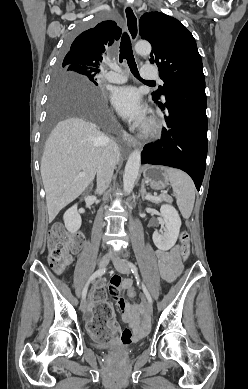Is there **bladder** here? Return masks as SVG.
Listing matches in <instances>:
<instances>
[{
  "mask_svg": "<svg viewBox=\"0 0 248 389\" xmlns=\"http://www.w3.org/2000/svg\"><path fill=\"white\" fill-rule=\"evenodd\" d=\"M93 346H94V348H96L98 350H102V351H118V350L125 349L120 344L100 342V341H94Z\"/></svg>",
  "mask_w": 248,
  "mask_h": 389,
  "instance_id": "obj_1",
  "label": "bladder"
}]
</instances>
